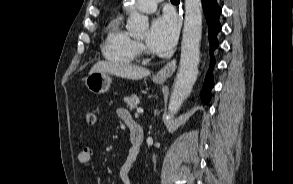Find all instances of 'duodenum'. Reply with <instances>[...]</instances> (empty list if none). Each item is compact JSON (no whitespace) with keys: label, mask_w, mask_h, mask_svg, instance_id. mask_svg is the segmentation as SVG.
<instances>
[{"label":"duodenum","mask_w":293,"mask_h":184,"mask_svg":"<svg viewBox=\"0 0 293 184\" xmlns=\"http://www.w3.org/2000/svg\"><path fill=\"white\" fill-rule=\"evenodd\" d=\"M128 127L130 130L131 148L134 153L138 154L144 139L143 128L135 121H131Z\"/></svg>","instance_id":"obj_1"}]
</instances>
